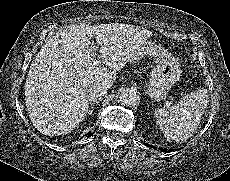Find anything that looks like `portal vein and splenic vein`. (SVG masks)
<instances>
[{"instance_id":"portal-vein-and-splenic-vein-1","label":"portal vein and splenic vein","mask_w":230,"mask_h":181,"mask_svg":"<svg viewBox=\"0 0 230 181\" xmlns=\"http://www.w3.org/2000/svg\"><path fill=\"white\" fill-rule=\"evenodd\" d=\"M100 64V60H97V59H95L94 61H93V65H95V66H98ZM171 103H168V105H170Z\"/></svg>"}]
</instances>
